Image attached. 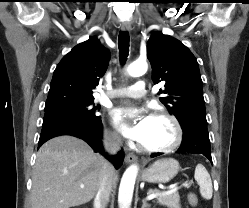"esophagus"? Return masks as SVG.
I'll use <instances>...</instances> for the list:
<instances>
[{
  "mask_svg": "<svg viewBox=\"0 0 249 208\" xmlns=\"http://www.w3.org/2000/svg\"><path fill=\"white\" fill-rule=\"evenodd\" d=\"M121 30L124 31V32H128V31H131V25L130 23L128 22H123L121 24ZM137 160V156L131 152L127 153L126 156H125V162L127 164H130V163H133Z\"/></svg>",
  "mask_w": 249,
  "mask_h": 208,
  "instance_id": "obj_1",
  "label": "esophagus"
}]
</instances>
